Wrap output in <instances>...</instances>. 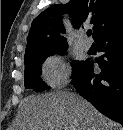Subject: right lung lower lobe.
Returning a JSON list of instances; mask_svg holds the SVG:
<instances>
[{
	"label": "right lung lower lobe",
	"mask_w": 123,
	"mask_h": 130,
	"mask_svg": "<svg viewBox=\"0 0 123 130\" xmlns=\"http://www.w3.org/2000/svg\"><path fill=\"white\" fill-rule=\"evenodd\" d=\"M95 42L104 54L85 61L71 84L101 113L123 126V25L103 33ZM96 64L99 74L93 73Z\"/></svg>",
	"instance_id": "1"
}]
</instances>
